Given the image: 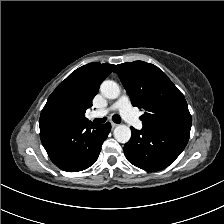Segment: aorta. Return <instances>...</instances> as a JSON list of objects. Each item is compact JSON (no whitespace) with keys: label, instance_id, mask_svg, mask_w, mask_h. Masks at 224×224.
I'll use <instances>...</instances> for the list:
<instances>
[{"label":"aorta","instance_id":"aorta-1","mask_svg":"<svg viewBox=\"0 0 224 224\" xmlns=\"http://www.w3.org/2000/svg\"><path fill=\"white\" fill-rule=\"evenodd\" d=\"M102 95L108 99H116L120 95L119 85L112 80H105L100 86ZM114 138L120 143H127L131 138V129L126 125H118L114 129Z\"/></svg>","mask_w":224,"mask_h":224}]
</instances>
